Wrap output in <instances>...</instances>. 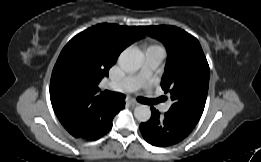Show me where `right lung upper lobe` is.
<instances>
[{
	"label": "right lung upper lobe",
	"instance_id": "obj_1",
	"mask_svg": "<svg viewBox=\"0 0 261 162\" xmlns=\"http://www.w3.org/2000/svg\"><path fill=\"white\" fill-rule=\"evenodd\" d=\"M144 36L141 26L102 23L77 34L63 48L52 72L50 99L71 135H88L94 125L113 115L118 102L99 94L98 84L119 54Z\"/></svg>",
	"mask_w": 261,
	"mask_h": 162
}]
</instances>
